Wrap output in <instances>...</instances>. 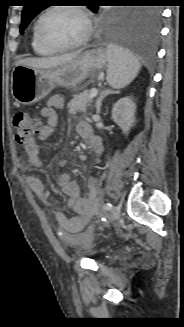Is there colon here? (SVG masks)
<instances>
[{
  "instance_id": "5ec220e1",
  "label": "colon",
  "mask_w": 184,
  "mask_h": 327,
  "mask_svg": "<svg viewBox=\"0 0 184 327\" xmlns=\"http://www.w3.org/2000/svg\"><path fill=\"white\" fill-rule=\"evenodd\" d=\"M13 127L16 141L26 145L39 134L41 121L28 111H18L13 118ZM95 217L98 221L103 219L100 213H96Z\"/></svg>"
}]
</instances>
